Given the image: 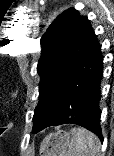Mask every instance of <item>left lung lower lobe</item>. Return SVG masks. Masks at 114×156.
Segmentation results:
<instances>
[{
  "label": "left lung lower lobe",
  "instance_id": "0a47b994",
  "mask_svg": "<svg viewBox=\"0 0 114 156\" xmlns=\"http://www.w3.org/2000/svg\"><path fill=\"white\" fill-rule=\"evenodd\" d=\"M102 61L100 45L93 32L67 83L59 110L45 126L33 131L34 133L49 126L73 123L92 131L103 140L100 127L101 111L98 106Z\"/></svg>",
  "mask_w": 114,
  "mask_h": 156
}]
</instances>
